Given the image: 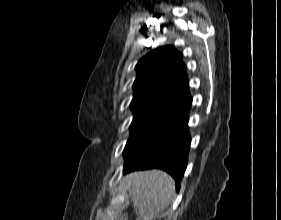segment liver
I'll use <instances>...</instances> for the list:
<instances>
[{
    "label": "liver",
    "instance_id": "liver-1",
    "mask_svg": "<svg viewBox=\"0 0 281 220\" xmlns=\"http://www.w3.org/2000/svg\"><path fill=\"white\" fill-rule=\"evenodd\" d=\"M123 184L132 198L136 220H155L175 194V182L158 169L128 174Z\"/></svg>",
    "mask_w": 281,
    "mask_h": 220
}]
</instances>
